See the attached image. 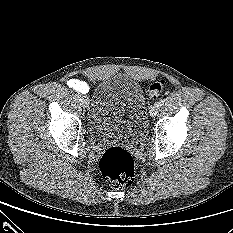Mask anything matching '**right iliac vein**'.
<instances>
[{
	"label": "right iliac vein",
	"mask_w": 233,
	"mask_h": 233,
	"mask_svg": "<svg viewBox=\"0 0 233 233\" xmlns=\"http://www.w3.org/2000/svg\"><path fill=\"white\" fill-rule=\"evenodd\" d=\"M80 103H81V105H82L83 107H88V105H89V99H88V97L82 96V97L80 98Z\"/></svg>",
	"instance_id": "obj_1"
}]
</instances>
